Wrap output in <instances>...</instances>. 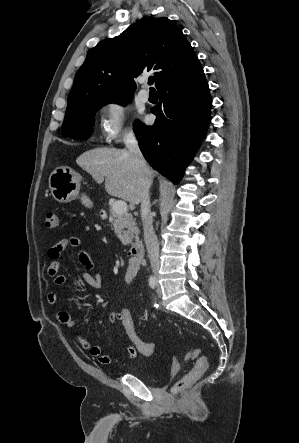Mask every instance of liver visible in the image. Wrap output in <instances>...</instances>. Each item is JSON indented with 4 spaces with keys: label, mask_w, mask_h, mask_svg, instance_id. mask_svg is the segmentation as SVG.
<instances>
[{
    "label": "liver",
    "mask_w": 299,
    "mask_h": 443,
    "mask_svg": "<svg viewBox=\"0 0 299 443\" xmlns=\"http://www.w3.org/2000/svg\"><path fill=\"white\" fill-rule=\"evenodd\" d=\"M76 163L96 181L105 180V189L111 196L132 204L142 200L139 173L132 154L123 149L95 148L82 153ZM150 170L151 177L154 171Z\"/></svg>",
    "instance_id": "liver-1"
}]
</instances>
